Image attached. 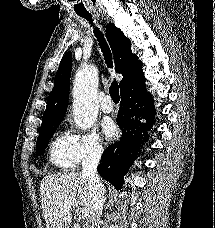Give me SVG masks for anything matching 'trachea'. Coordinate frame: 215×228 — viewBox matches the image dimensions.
<instances>
[{
	"label": "trachea",
	"mask_w": 215,
	"mask_h": 228,
	"mask_svg": "<svg viewBox=\"0 0 215 228\" xmlns=\"http://www.w3.org/2000/svg\"><path fill=\"white\" fill-rule=\"evenodd\" d=\"M80 17L82 18H86V20L89 21V23L92 22V16L90 14H79ZM95 32V36L97 37V40L99 42V45L102 49L103 52V56H104V60L105 63L107 64V66L109 68H112V55L110 52V49L105 41V38L102 34V32H100L98 29L94 30ZM109 94L111 95L112 100L114 101V103H118L120 100V96H119V85L116 82V80H114L109 88Z\"/></svg>",
	"instance_id": "1"
}]
</instances>
